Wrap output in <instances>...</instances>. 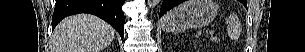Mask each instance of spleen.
Returning <instances> with one entry per match:
<instances>
[{
  "mask_svg": "<svg viewBox=\"0 0 305 52\" xmlns=\"http://www.w3.org/2000/svg\"><path fill=\"white\" fill-rule=\"evenodd\" d=\"M226 25L229 36L237 39L240 35V27L237 18L234 15H230L226 19Z\"/></svg>",
  "mask_w": 305,
  "mask_h": 52,
  "instance_id": "3e777b00",
  "label": "spleen"
}]
</instances>
